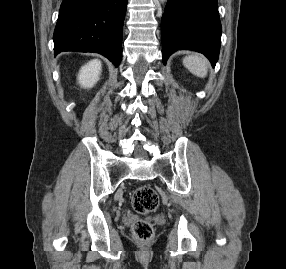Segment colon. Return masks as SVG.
<instances>
[{
    "label": "colon",
    "instance_id": "1",
    "mask_svg": "<svg viewBox=\"0 0 286 269\" xmlns=\"http://www.w3.org/2000/svg\"><path fill=\"white\" fill-rule=\"evenodd\" d=\"M159 197L150 186H140L132 194V206L140 214H147L157 209ZM151 223L139 220L132 226L133 237L140 242H147L153 237Z\"/></svg>",
    "mask_w": 286,
    "mask_h": 269
}]
</instances>
